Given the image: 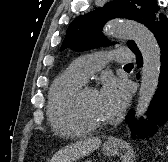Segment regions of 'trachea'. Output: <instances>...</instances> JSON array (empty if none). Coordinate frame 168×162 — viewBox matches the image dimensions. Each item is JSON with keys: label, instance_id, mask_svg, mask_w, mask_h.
I'll return each instance as SVG.
<instances>
[{"label": "trachea", "instance_id": "1", "mask_svg": "<svg viewBox=\"0 0 168 162\" xmlns=\"http://www.w3.org/2000/svg\"><path fill=\"white\" fill-rule=\"evenodd\" d=\"M125 67H133L132 63L126 64Z\"/></svg>", "mask_w": 168, "mask_h": 162}]
</instances>
